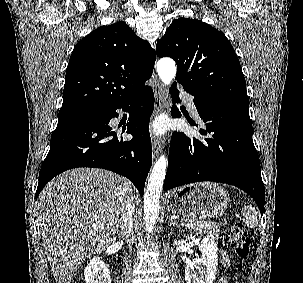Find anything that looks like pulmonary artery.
<instances>
[{"mask_svg":"<svg viewBox=\"0 0 303 283\" xmlns=\"http://www.w3.org/2000/svg\"><path fill=\"white\" fill-rule=\"evenodd\" d=\"M180 96L182 97V99L184 100V102L186 103L189 111L196 117L199 118L198 112H197V108L196 105L194 103V98L185 92H181Z\"/></svg>","mask_w":303,"mask_h":283,"instance_id":"obj_1","label":"pulmonary artery"}]
</instances>
